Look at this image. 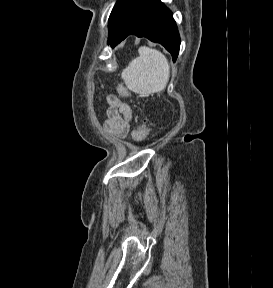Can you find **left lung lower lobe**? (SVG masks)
Listing matches in <instances>:
<instances>
[{"instance_id": "left-lung-lower-lobe-1", "label": "left lung lower lobe", "mask_w": 273, "mask_h": 288, "mask_svg": "<svg viewBox=\"0 0 273 288\" xmlns=\"http://www.w3.org/2000/svg\"><path fill=\"white\" fill-rule=\"evenodd\" d=\"M162 44L176 61L180 37L172 12L160 0H131L108 43L114 47L128 35Z\"/></svg>"}]
</instances>
